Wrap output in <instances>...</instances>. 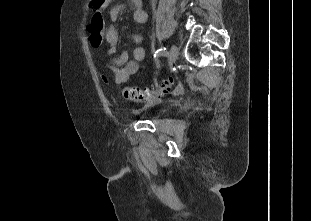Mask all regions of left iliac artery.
<instances>
[{"label": "left iliac artery", "mask_w": 311, "mask_h": 221, "mask_svg": "<svg viewBox=\"0 0 311 221\" xmlns=\"http://www.w3.org/2000/svg\"><path fill=\"white\" fill-rule=\"evenodd\" d=\"M167 51L164 46H161L155 53H154V58L161 56V55H166Z\"/></svg>", "instance_id": "1"}]
</instances>
